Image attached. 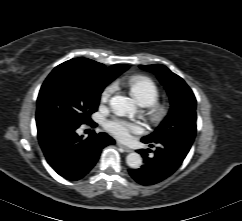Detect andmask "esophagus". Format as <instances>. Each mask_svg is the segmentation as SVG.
Wrapping results in <instances>:
<instances>
[{
    "label": "esophagus",
    "instance_id": "obj_1",
    "mask_svg": "<svg viewBox=\"0 0 242 221\" xmlns=\"http://www.w3.org/2000/svg\"><path fill=\"white\" fill-rule=\"evenodd\" d=\"M118 146H119L120 148H122V149H123L125 152H127V153H130V152L133 151L131 148H129V147H127V146H124V145L121 144V143H118Z\"/></svg>",
    "mask_w": 242,
    "mask_h": 221
}]
</instances>
